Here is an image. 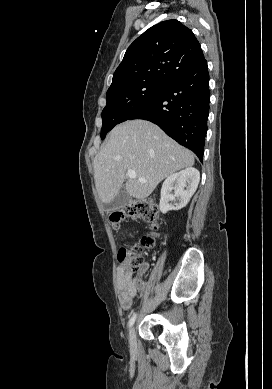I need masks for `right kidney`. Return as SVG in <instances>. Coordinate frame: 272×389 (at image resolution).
Here are the masks:
<instances>
[{
  "mask_svg": "<svg viewBox=\"0 0 272 389\" xmlns=\"http://www.w3.org/2000/svg\"><path fill=\"white\" fill-rule=\"evenodd\" d=\"M199 181L200 173L193 167L170 175L162 185L160 211L165 214L170 210H180L185 207L195 193ZM172 190H174V195L171 194ZM176 198L178 202H175ZM172 201H174L173 205Z\"/></svg>",
  "mask_w": 272,
  "mask_h": 389,
  "instance_id": "ca27d5eb",
  "label": "right kidney"
}]
</instances>
